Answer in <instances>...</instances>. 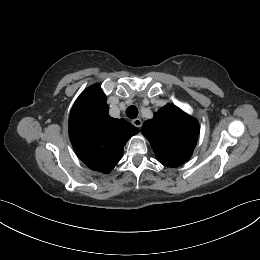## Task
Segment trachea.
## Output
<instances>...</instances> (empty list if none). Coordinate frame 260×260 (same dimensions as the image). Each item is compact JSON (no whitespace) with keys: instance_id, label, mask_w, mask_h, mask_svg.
Listing matches in <instances>:
<instances>
[{"instance_id":"1","label":"trachea","mask_w":260,"mask_h":260,"mask_svg":"<svg viewBox=\"0 0 260 260\" xmlns=\"http://www.w3.org/2000/svg\"><path fill=\"white\" fill-rule=\"evenodd\" d=\"M126 115L131 118L135 119L138 116V109L136 106L131 105L126 109Z\"/></svg>"}]
</instances>
